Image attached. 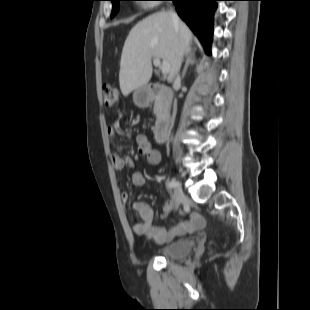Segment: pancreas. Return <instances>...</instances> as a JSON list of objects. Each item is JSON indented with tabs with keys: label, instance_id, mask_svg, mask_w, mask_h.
<instances>
[{
	"label": "pancreas",
	"instance_id": "pancreas-1",
	"mask_svg": "<svg viewBox=\"0 0 310 310\" xmlns=\"http://www.w3.org/2000/svg\"><path fill=\"white\" fill-rule=\"evenodd\" d=\"M153 112H154L155 115H158V114H159L158 102H155Z\"/></svg>",
	"mask_w": 310,
	"mask_h": 310
}]
</instances>
